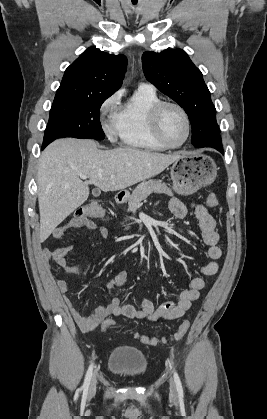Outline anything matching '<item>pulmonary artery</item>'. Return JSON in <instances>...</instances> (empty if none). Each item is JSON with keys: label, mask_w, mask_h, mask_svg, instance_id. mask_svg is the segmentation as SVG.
Segmentation results:
<instances>
[{"label": "pulmonary artery", "mask_w": 267, "mask_h": 419, "mask_svg": "<svg viewBox=\"0 0 267 419\" xmlns=\"http://www.w3.org/2000/svg\"><path fill=\"white\" fill-rule=\"evenodd\" d=\"M139 87L153 88L150 84H146V83H141Z\"/></svg>", "instance_id": "e3ab8cb5"}]
</instances>
